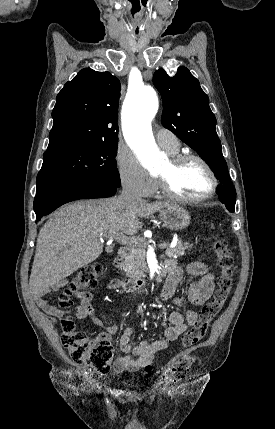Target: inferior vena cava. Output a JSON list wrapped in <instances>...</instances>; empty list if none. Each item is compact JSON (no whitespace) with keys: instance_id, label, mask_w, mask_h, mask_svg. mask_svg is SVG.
<instances>
[{"instance_id":"1","label":"inferior vena cava","mask_w":275,"mask_h":429,"mask_svg":"<svg viewBox=\"0 0 275 429\" xmlns=\"http://www.w3.org/2000/svg\"><path fill=\"white\" fill-rule=\"evenodd\" d=\"M119 198L126 203H131V202L141 200L140 197L138 196L136 190L129 184H125L123 186L122 192H121Z\"/></svg>"}]
</instances>
